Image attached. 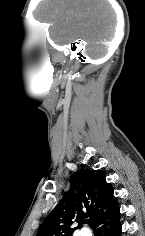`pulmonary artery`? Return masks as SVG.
<instances>
[{"label":"pulmonary artery","instance_id":"pulmonary-artery-1","mask_svg":"<svg viewBox=\"0 0 145 236\" xmlns=\"http://www.w3.org/2000/svg\"><path fill=\"white\" fill-rule=\"evenodd\" d=\"M80 236H90L86 229L81 230Z\"/></svg>","mask_w":145,"mask_h":236}]
</instances>
